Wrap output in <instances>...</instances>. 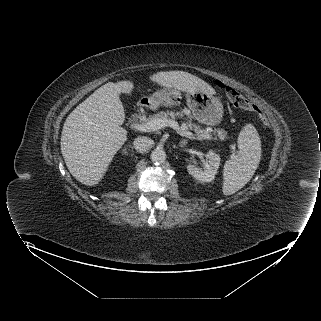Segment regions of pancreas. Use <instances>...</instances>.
Listing matches in <instances>:
<instances>
[{"label": "pancreas", "instance_id": "cf45deb5", "mask_svg": "<svg viewBox=\"0 0 321 321\" xmlns=\"http://www.w3.org/2000/svg\"><path fill=\"white\" fill-rule=\"evenodd\" d=\"M184 114L189 116V111L188 110H183L181 112H172V111H167V112H159L157 114L154 115H150L143 123H147L151 120H155V119H175L176 117H182ZM190 120L189 123L186 125V129H191L193 131H195V133H202V129L200 128L199 125L193 124L191 122V117L189 116ZM217 134L220 138H224L227 136V132L224 129H216L214 131V134Z\"/></svg>", "mask_w": 321, "mask_h": 321}]
</instances>
